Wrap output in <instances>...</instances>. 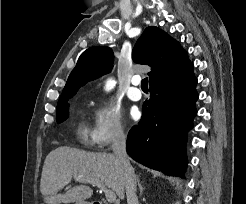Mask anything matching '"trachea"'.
<instances>
[{
	"instance_id": "1",
	"label": "trachea",
	"mask_w": 246,
	"mask_h": 204,
	"mask_svg": "<svg viewBox=\"0 0 246 204\" xmlns=\"http://www.w3.org/2000/svg\"><path fill=\"white\" fill-rule=\"evenodd\" d=\"M141 88H142L143 90L148 89V78H147V77L144 78V79L141 81Z\"/></svg>"
}]
</instances>
